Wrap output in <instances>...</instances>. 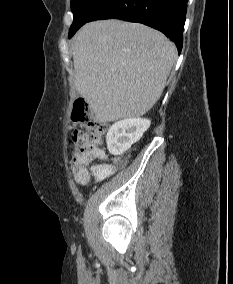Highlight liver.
Wrapping results in <instances>:
<instances>
[{"instance_id":"6515ba94","label":"liver","mask_w":233,"mask_h":284,"mask_svg":"<svg viewBox=\"0 0 233 284\" xmlns=\"http://www.w3.org/2000/svg\"><path fill=\"white\" fill-rule=\"evenodd\" d=\"M176 59L174 43L140 23L91 22L73 39L75 87L99 122L148 112Z\"/></svg>"}]
</instances>
